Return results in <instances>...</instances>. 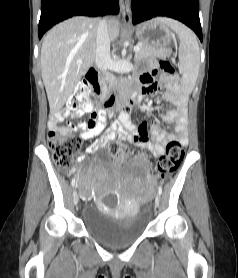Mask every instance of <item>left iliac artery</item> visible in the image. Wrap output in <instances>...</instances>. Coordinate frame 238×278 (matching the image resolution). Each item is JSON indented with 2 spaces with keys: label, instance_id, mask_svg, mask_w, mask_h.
<instances>
[{
  "label": "left iliac artery",
  "instance_id": "44dca946",
  "mask_svg": "<svg viewBox=\"0 0 238 278\" xmlns=\"http://www.w3.org/2000/svg\"><path fill=\"white\" fill-rule=\"evenodd\" d=\"M158 193H159V195L162 194V187L161 186L158 187Z\"/></svg>",
  "mask_w": 238,
  "mask_h": 278
}]
</instances>
